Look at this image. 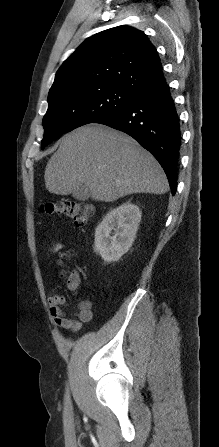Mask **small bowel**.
Listing matches in <instances>:
<instances>
[{
    "label": "small bowel",
    "instance_id": "1",
    "mask_svg": "<svg viewBox=\"0 0 219 447\" xmlns=\"http://www.w3.org/2000/svg\"><path fill=\"white\" fill-rule=\"evenodd\" d=\"M65 249V245L57 242L54 243L47 252V257L51 254L59 253ZM68 289L74 294H77L79 287V277L76 275L67 282ZM65 298L60 294H55L49 297L48 303L50 308L51 316L53 317L55 323L65 329L78 330L82 323L89 322L93 317L92 304L88 299H82L79 302L78 312L76 318H70L62 310L61 306L64 304Z\"/></svg>",
    "mask_w": 219,
    "mask_h": 447
}]
</instances>
